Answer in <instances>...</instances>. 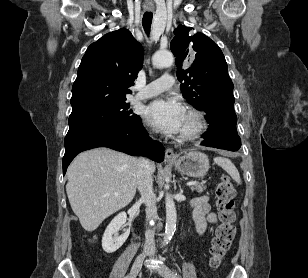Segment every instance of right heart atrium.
Returning a JSON list of instances; mask_svg holds the SVG:
<instances>
[{"instance_id":"obj_1","label":"right heart atrium","mask_w":308,"mask_h":278,"mask_svg":"<svg viewBox=\"0 0 308 278\" xmlns=\"http://www.w3.org/2000/svg\"><path fill=\"white\" fill-rule=\"evenodd\" d=\"M149 132L152 136H154L157 133V130L154 127H151Z\"/></svg>"}]
</instances>
